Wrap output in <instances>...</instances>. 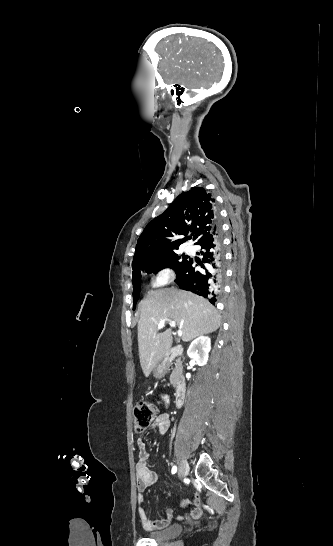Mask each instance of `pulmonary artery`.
<instances>
[{"mask_svg": "<svg viewBox=\"0 0 333 546\" xmlns=\"http://www.w3.org/2000/svg\"><path fill=\"white\" fill-rule=\"evenodd\" d=\"M185 251L188 254H193L195 252V249L192 246H186Z\"/></svg>", "mask_w": 333, "mask_h": 546, "instance_id": "e3ab8cb5", "label": "pulmonary artery"}]
</instances>
